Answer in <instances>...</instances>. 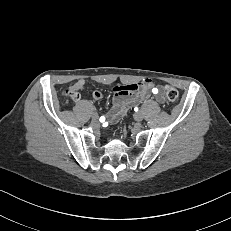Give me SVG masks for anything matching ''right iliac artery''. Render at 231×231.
Listing matches in <instances>:
<instances>
[{
    "instance_id": "obj_1",
    "label": "right iliac artery",
    "mask_w": 231,
    "mask_h": 231,
    "mask_svg": "<svg viewBox=\"0 0 231 231\" xmlns=\"http://www.w3.org/2000/svg\"><path fill=\"white\" fill-rule=\"evenodd\" d=\"M105 121V117L104 116H101L100 117V122H104Z\"/></svg>"
}]
</instances>
